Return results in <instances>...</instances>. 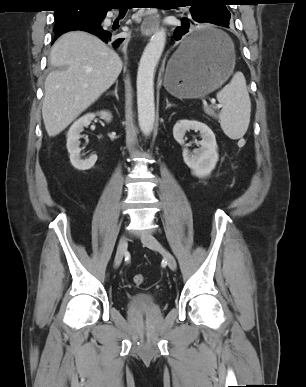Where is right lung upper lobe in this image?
<instances>
[{
    "label": "right lung upper lobe",
    "mask_w": 306,
    "mask_h": 387,
    "mask_svg": "<svg viewBox=\"0 0 306 387\" xmlns=\"http://www.w3.org/2000/svg\"><path fill=\"white\" fill-rule=\"evenodd\" d=\"M60 8H68L71 5L80 4L86 7H97L101 10H107L112 6L116 0H59ZM75 25L69 26L65 29L73 27ZM64 29V30H65Z\"/></svg>",
    "instance_id": "1"
}]
</instances>
